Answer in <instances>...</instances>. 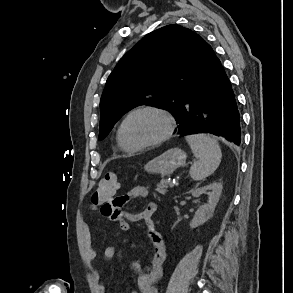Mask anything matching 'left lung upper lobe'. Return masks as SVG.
I'll return each instance as SVG.
<instances>
[{
	"label": "left lung upper lobe",
	"mask_w": 293,
	"mask_h": 293,
	"mask_svg": "<svg viewBox=\"0 0 293 293\" xmlns=\"http://www.w3.org/2000/svg\"><path fill=\"white\" fill-rule=\"evenodd\" d=\"M214 51L198 34L171 24L147 34L109 75L100 101L99 140L128 111L150 105L177 118L182 101L204 80Z\"/></svg>",
	"instance_id": "5c2ea615"
}]
</instances>
